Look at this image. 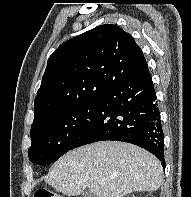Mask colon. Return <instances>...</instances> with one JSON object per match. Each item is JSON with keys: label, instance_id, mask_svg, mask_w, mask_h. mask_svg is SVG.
Segmentation results:
<instances>
[{"label": "colon", "instance_id": "1", "mask_svg": "<svg viewBox=\"0 0 191 197\" xmlns=\"http://www.w3.org/2000/svg\"><path fill=\"white\" fill-rule=\"evenodd\" d=\"M34 197H62V196L55 194L47 189H39L35 192Z\"/></svg>", "mask_w": 191, "mask_h": 197}]
</instances>
